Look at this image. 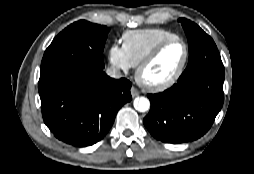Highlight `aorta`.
Instances as JSON below:
<instances>
[{"label":"aorta","mask_w":254,"mask_h":174,"mask_svg":"<svg viewBox=\"0 0 254 174\" xmlns=\"http://www.w3.org/2000/svg\"><path fill=\"white\" fill-rule=\"evenodd\" d=\"M134 107L139 112H146L150 108V101L145 97H138L134 100Z\"/></svg>","instance_id":"obj_1"}]
</instances>
